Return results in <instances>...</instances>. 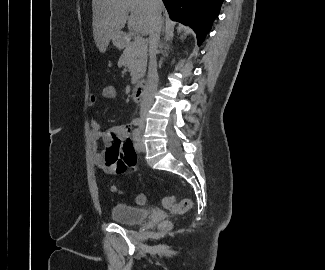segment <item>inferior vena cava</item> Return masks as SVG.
Here are the masks:
<instances>
[{
	"instance_id": "602c4592",
	"label": "inferior vena cava",
	"mask_w": 325,
	"mask_h": 270,
	"mask_svg": "<svg viewBox=\"0 0 325 270\" xmlns=\"http://www.w3.org/2000/svg\"><path fill=\"white\" fill-rule=\"evenodd\" d=\"M151 9V22L149 31V69L147 76V83L145 87V92L143 95V100L140 108V115L144 118L148 111L150 110L154 96L157 91L158 86V73H157V61L156 53L157 47L160 41V33L162 27L161 18V7L162 0H148Z\"/></svg>"
}]
</instances>
